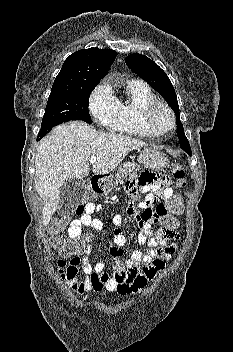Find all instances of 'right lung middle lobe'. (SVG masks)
<instances>
[{
  "instance_id": "1",
  "label": "right lung middle lobe",
  "mask_w": 233,
  "mask_h": 352,
  "mask_svg": "<svg viewBox=\"0 0 233 352\" xmlns=\"http://www.w3.org/2000/svg\"><path fill=\"white\" fill-rule=\"evenodd\" d=\"M96 85L74 90H51L39 133L70 120H82L91 123L88 101Z\"/></svg>"
}]
</instances>
